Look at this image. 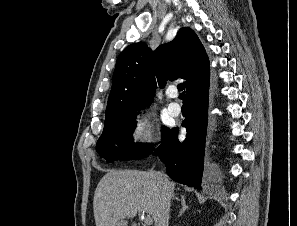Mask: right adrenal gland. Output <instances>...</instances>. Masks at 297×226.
Masks as SVG:
<instances>
[{
    "label": "right adrenal gland",
    "mask_w": 297,
    "mask_h": 226,
    "mask_svg": "<svg viewBox=\"0 0 297 226\" xmlns=\"http://www.w3.org/2000/svg\"><path fill=\"white\" fill-rule=\"evenodd\" d=\"M180 201H181L182 208H181V210L179 212L178 217L182 216V214L189 208V206L186 205L184 195H181Z\"/></svg>",
    "instance_id": "2a0ac1e0"
}]
</instances>
